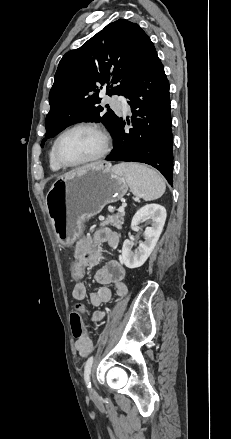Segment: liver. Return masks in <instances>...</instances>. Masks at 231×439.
I'll return each instance as SVG.
<instances>
[{
    "label": "liver",
    "instance_id": "6515ba94",
    "mask_svg": "<svg viewBox=\"0 0 231 439\" xmlns=\"http://www.w3.org/2000/svg\"><path fill=\"white\" fill-rule=\"evenodd\" d=\"M96 164H97V163H92V164H89V165H86V166H83V167L76 168V169H74V170H72V171H70V172H68V173H66V174H64V175H62V176H60V177H58V179H60V178H62V177H64V176H67V175H69L70 173H73V172H76V171H79V170H82V169H85V168H88V167L94 166V165H96Z\"/></svg>",
    "mask_w": 231,
    "mask_h": 439
}]
</instances>
